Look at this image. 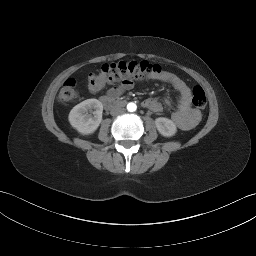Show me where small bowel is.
<instances>
[{
    "mask_svg": "<svg viewBox=\"0 0 256 256\" xmlns=\"http://www.w3.org/2000/svg\"><path fill=\"white\" fill-rule=\"evenodd\" d=\"M160 80L171 85L180 95L178 108L171 115L172 121L181 130H190L194 128L201 119V114L191 105V91L189 86L177 75L165 72L158 77ZM132 79H123L117 85H114L106 92V95L118 98L125 92L130 91L134 87ZM166 103L170 105L169 99ZM143 106L153 112H161V103L154 99L148 98L143 101Z\"/></svg>",
    "mask_w": 256,
    "mask_h": 256,
    "instance_id": "small-bowel-1",
    "label": "small bowel"
}]
</instances>
